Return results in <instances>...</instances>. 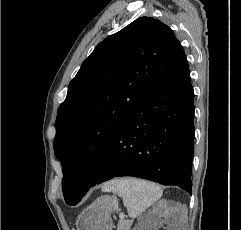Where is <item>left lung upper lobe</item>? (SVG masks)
Instances as JSON below:
<instances>
[{"label":"left lung upper lobe","instance_id":"1","mask_svg":"<svg viewBox=\"0 0 241 230\" xmlns=\"http://www.w3.org/2000/svg\"><path fill=\"white\" fill-rule=\"evenodd\" d=\"M184 57L167 25L141 17L108 36L84 60L55 123L54 151L62 164L67 204H75L88 184L84 163L116 136Z\"/></svg>","mask_w":241,"mask_h":230}]
</instances>
